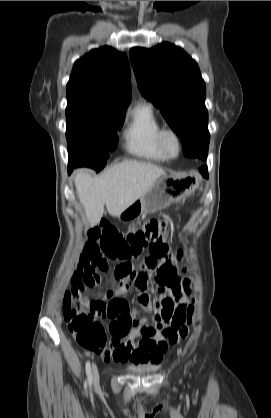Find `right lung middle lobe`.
<instances>
[{
  "label": "right lung middle lobe",
  "mask_w": 271,
  "mask_h": 418,
  "mask_svg": "<svg viewBox=\"0 0 271 418\" xmlns=\"http://www.w3.org/2000/svg\"><path fill=\"white\" fill-rule=\"evenodd\" d=\"M124 118L125 112L67 105L69 165L74 168L88 166L100 171L106 164L108 151L117 147V131L121 129Z\"/></svg>",
  "instance_id": "right-lung-middle-lobe-1"
}]
</instances>
